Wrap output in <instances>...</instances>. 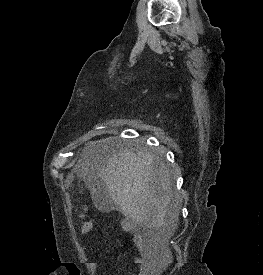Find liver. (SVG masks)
<instances>
[{"mask_svg":"<svg viewBox=\"0 0 263 275\" xmlns=\"http://www.w3.org/2000/svg\"><path fill=\"white\" fill-rule=\"evenodd\" d=\"M99 146L88 145L75 171L79 175L90 173L92 178L99 177L120 212L132 222L145 227L170 225L175 228L180 207L173 201L166 166L148 152L135 153L125 148L108 155L95 174L89 170L85 157ZM95 185L93 192L99 189H95Z\"/></svg>","mask_w":263,"mask_h":275,"instance_id":"obj_1","label":"liver"}]
</instances>
